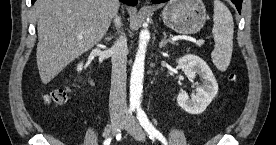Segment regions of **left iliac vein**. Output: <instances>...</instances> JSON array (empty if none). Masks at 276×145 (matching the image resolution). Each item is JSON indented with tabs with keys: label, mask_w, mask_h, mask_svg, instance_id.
Returning a JSON list of instances; mask_svg holds the SVG:
<instances>
[{
	"label": "left iliac vein",
	"mask_w": 276,
	"mask_h": 145,
	"mask_svg": "<svg viewBox=\"0 0 276 145\" xmlns=\"http://www.w3.org/2000/svg\"><path fill=\"white\" fill-rule=\"evenodd\" d=\"M123 128L126 129L136 140L143 141L145 134L136 118L131 116L124 123Z\"/></svg>",
	"instance_id": "left-iliac-vein-1"
}]
</instances>
